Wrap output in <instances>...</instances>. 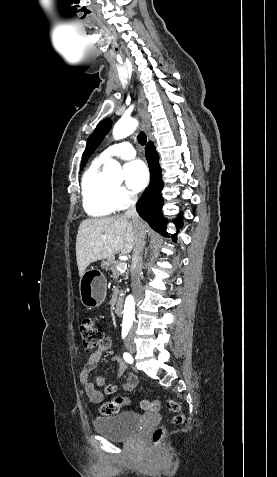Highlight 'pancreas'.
I'll list each match as a JSON object with an SVG mask.
<instances>
[{"mask_svg": "<svg viewBox=\"0 0 277 477\" xmlns=\"http://www.w3.org/2000/svg\"><path fill=\"white\" fill-rule=\"evenodd\" d=\"M121 262L119 261H116L115 260V257L112 256V257H109L105 262L102 263V267L105 269V270H110L112 271L113 273V277H118L119 275H121L120 271L117 270V266L120 264ZM125 276V279H127L128 277V274L125 273L123 274Z\"/></svg>", "mask_w": 277, "mask_h": 477, "instance_id": "pancreas-1", "label": "pancreas"}]
</instances>
